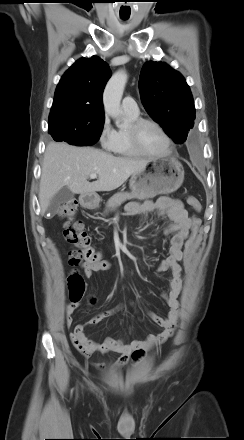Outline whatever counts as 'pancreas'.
<instances>
[{
  "instance_id": "1",
  "label": "pancreas",
  "mask_w": 244,
  "mask_h": 440,
  "mask_svg": "<svg viewBox=\"0 0 244 440\" xmlns=\"http://www.w3.org/2000/svg\"><path fill=\"white\" fill-rule=\"evenodd\" d=\"M148 199L150 196H144V195H137L135 193H128V192H120L113 195L106 204V210L105 212L114 211L117 207H119L123 202L126 200L131 199Z\"/></svg>"
}]
</instances>
